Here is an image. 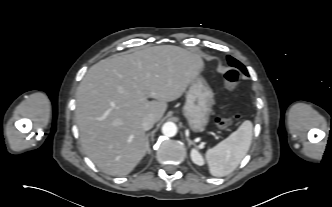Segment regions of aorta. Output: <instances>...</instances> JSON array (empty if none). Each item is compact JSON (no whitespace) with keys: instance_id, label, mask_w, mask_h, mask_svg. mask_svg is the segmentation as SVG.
<instances>
[{"instance_id":"aorta-1","label":"aorta","mask_w":332,"mask_h":207,"mask_svg":"<svg viewBox=\"0 0 332 207\" xmlns=\"http://www.w3.org/2000/svg\"><path fill=\"white\" fill-rule=\"evenodd\" d=\"M162 133L167 137H173L177 133V126L173 122H166L162 126Z\"/></svg>"}]
</instances>
